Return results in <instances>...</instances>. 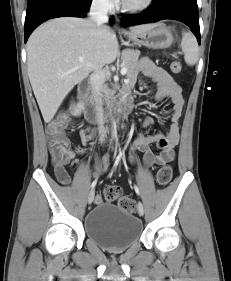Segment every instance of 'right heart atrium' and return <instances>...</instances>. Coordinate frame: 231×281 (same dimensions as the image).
Wrapping results in <instances>:
<instances>
[{
    "label": "right heart atrium",
    "instance_id": "1",
    "mask_svg": "<svg viewBox=\"0 0 231 281\" xmlns=\"http://www.w3.org/2000/svg\"><path fill=\"white\" fill-rule=\"evenodd\" d=\"M94 3L104 9H108L111 4H112V0H93Z\"/></svg>",
    "mask_w": 231,
    "mask_h": 281
}]
</instances>
